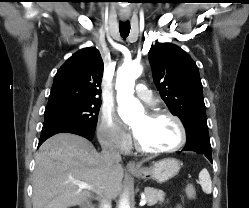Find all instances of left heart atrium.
I'll return each mask as SVG.
<instances>
[{"label": "left heart atrium", "instance_id": "1", "mask_svg": "<svg viewBox=\"0 0 249 208\" xmlns=\"http://www.w3.org/2000/svg\"><path fill=\"white\" fill-rule=\"evenodd\" d=\"M134 133H135V135L137 136V132L135 131Z\"/></svg>", "mask_w": 249, "mask_h": 208}]
</instances>
